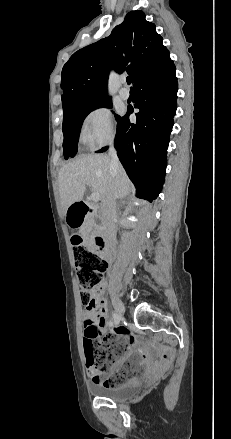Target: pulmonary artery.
Returning <instances> with one entry per match:
<instances>
[{
    "label": "pulmonary artery",
    "instance_id": "pulmonary-artery-1",
    "mask_svg": "<svg viewBox=\"0 0 231 439\" xmlns=\"http://www.w3.org/2000/svg\"><path fill=\"white\" fill-rule=\"evenodd\" d=\"M119 95L123 100H127L130 97V92L126 87H122L119 91Z\"/></svg>",
    "mask_w": 231,
    "mask_h": 439
}]
</instances>
